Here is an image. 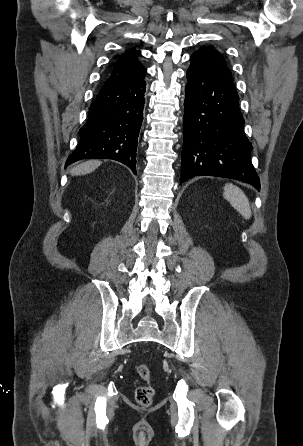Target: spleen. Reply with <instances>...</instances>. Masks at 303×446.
Instances as JSON below:
<instances>
[{"instance_id":"1","label":"spleen","mask_w":303,"mask_h":446,"mask_svg":"<svg viewBox=\"0 0 303 446\" xmlns=\"http://www.w3.org/2000/svg\"><path fill=\"white\" fill-rule=\"evenodd\" d=\"M223 196L242 215L249 219L252 215L250 203L244 192L237 186L229 183L224 186Z\"/></svg>"}]
</instances>
